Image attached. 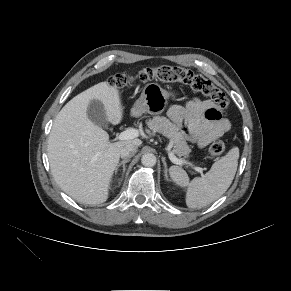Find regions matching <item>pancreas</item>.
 <instances>
[{
	"label": "pancreas",
	"instance_id": "obj_1",
	"mask_svg": "<svg viewBox=\"0 0 291 291\" xmlns=\"http://www.w3.org/2000/svg\"><path fill=\"white\" fill-rule=\"evenodd\" d=\"M147 125L151 130L169 138L174 147L173 154L177 155L178 157L184 156V158H186L191 152V149L189 148L185 137L181 133L180 128L170 122L168 118L163 116H156L149 120Z\"/></svg>",
	"mask_w": 291,
	"mask_h": 291
}]
</instances>
